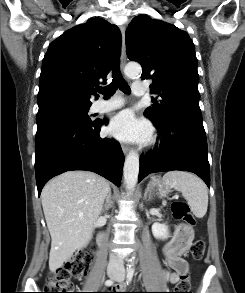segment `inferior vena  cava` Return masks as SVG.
Masks as SVG:
<instances>
[{"mask_svg": "<svg viewBox=\"0 0 245 293\" xmlns=\"http://www.w3.org/2000/svg\"><path fill=\"white\" fill-rule=\"evenodd\" d=\"M123 267L122 261L114 254L110 255L108 268L111 270H121Z\"/></svg>", "mask_w": 245, "mask_h": 293, "instance_id": "602c4592", "label": "inferior vena cava"}]
</instances>
